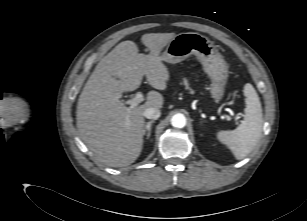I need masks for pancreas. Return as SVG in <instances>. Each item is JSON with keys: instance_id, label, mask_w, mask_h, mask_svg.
<instances>
[{"instance_id": "pancreas-1", "label": "pancreas", "mask_w": 307, "mask_h": 221, "mask_svg": "<svg viewBox=\"0 0 307 221\" xmlns=\"http://www.w3.org/2000/svg\"><path fill=\"white\" fill-rule=\"evenodd\" d=\"M184 85L186 86L187 89H190L189 83L187 82V80H184Z\"/></svg>"}]
</instances>
